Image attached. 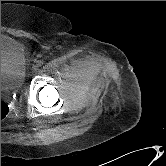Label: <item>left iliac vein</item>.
Masks as SVG:
<instances>
[{"instance_id": "left-iliac-vein-1", "label": "left iliac vein", "mask_w": 166, "mask_h": 166, "mask_svg": "<svg viewBox=\"0 0 166 166\" xmlns=\"http://www.w3.org/2000/svg\"><path fill=\"white\" fill-rule=\"evenodd\" d=\"M37 69H38V66H37V65H34V66L32 67V70H33V71H37Z\"/></svg>"}]
</instances>
